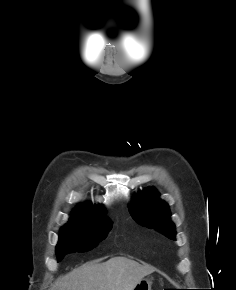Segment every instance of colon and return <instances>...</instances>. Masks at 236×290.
I'll return each mask as SVG.
<instances>
[{"label":"colon","instance_id":"5ec220e1","mask_svg":"<svg viewBox=\"0 0 236 290\" xmlns=\"http://www.w3.org/2000/svg\"><path fill=\"white\" fill-rule=\"evenodd\" d=\"M163 290H173V289H163Z\"/></svg>","mask_w":236,"mask_h":290}]
</instances>
